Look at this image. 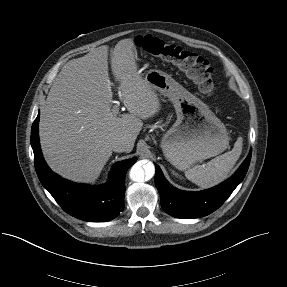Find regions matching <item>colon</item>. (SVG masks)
<instances>
[{
	"label": "colon",
	"instance_id": "colon-1",
	"mask_svg": "<svg viewBox=\"0 0 287 287\" xmlns=\"http://www.w3.org/2000/svg\"><path fill=\"white\" fill-rule=\"evenodd\" d=\"M135 44L148 54L176 65L203 94H214L213 69L204 57L152 35L137 37Z\"/></svg>",
	"mask_w": 287,
	"mask_h": 287
}]
</instances>
